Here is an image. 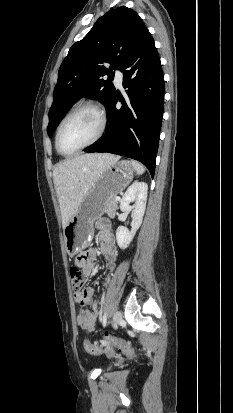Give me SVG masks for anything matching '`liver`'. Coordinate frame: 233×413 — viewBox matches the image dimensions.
<instances>
[{
  "label": "liver",
  "mask_w": 233,
  "mask_h": 413,
  "mask_svg": "<svg viewBox=\"0 0 233 413\" xmlns=\"http://www.w3.org/2000/svg\"><path fill=\"white\" fill-rule=\"evenodd\" d=\"M118 159L119 157L111 154H84L61 161L55 166L53 180L63 228L100 174Z\"/></svg>",
  "instance_id": "liver-1"
}]
</instances>
